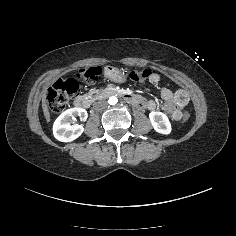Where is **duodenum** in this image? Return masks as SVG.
I'll return each mask as SVG.
<instances>
[{
    "instance_id": "duodenum-1",
    "label": "duodenum",
    "mask_w": 236,
    "mask_h": 236,
    "mask_svg": "<svg viewBox=\"0 0 236 236\" xmlns=\"http://www.w3.org/2000/svg\"><path fill=\"white\" fill-rule=\"evenodd\" d=\"M102 96H114V95H120L122 96L127 102L133 104L135 107L139 109H143L146 107H149L150 104L147 103L144 99L137 97L132 94H123L118 92L114 88H108L104 89L101 92ZM90 101L86 96H78L74 99V106L79 109H87L89 107ZM152 105V104H151ZM167 109L172 113L175 114L176 112V98L174 101H170L166 104Z\"/></svg>"
}]
</instances>
